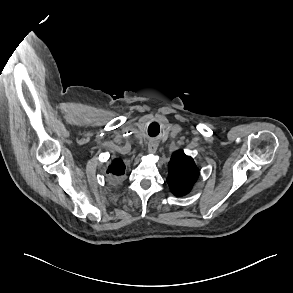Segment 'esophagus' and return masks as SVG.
<instances>
[{
	"mask_svg": "<svg viewBox=\"0 0 293 293\" xmlns=\"http://www.w3.org/2000/svg\"><path fill=\"white\" fill-rule=\"evenodd\" d=\"M158 144L155 141H150L148 143V152L149 153H155L157 150Z\"/></svg>",
	"mask_w": 293,
	"mask_h": 293,
	"instance_id": "1",
	"label": "esophagus"
}]
</instances>
